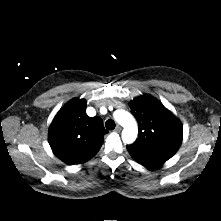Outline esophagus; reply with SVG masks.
I'll return each instance as SVG.
<instances>
[{"mask_svg":"<svg viewBox=\"0 0 221 221\" xmlns=\"http://www.w3.org/2000/svg\"><path fill=\"white\" fill-rule=\"evenodd\" d=\"M121 130H122V128L119 125H117L116 128L114 129V132L120 133Z\"/></svg>","mask_w":221,"mask_h":221,"instance_id":"esophagus-1","label":"esophagus"}]
</instances>
